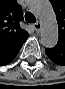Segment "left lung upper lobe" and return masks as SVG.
<instances>
[{
    "label": "left lung upper lobe",
    "mask_w": 65,
    "mask_h": 89,
    "mask_svg": "<svg viewBox=\"0 0 65 89\" xmlns=\"http://www.w3.org/2000/svg\"><path fill=\"white\" fill-rule=\"evenodd\" d=\"M56 13L59 39L65 40V0H50Z\"/></svg>",
    "instance_id": "obj_1"
}]
</instances>
